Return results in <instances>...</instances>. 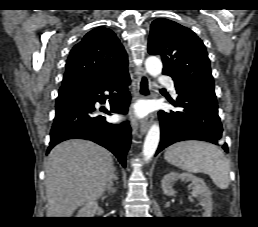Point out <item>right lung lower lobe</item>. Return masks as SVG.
Returning <instances> with one entry per match:
<instances>
[{
  "label": "right lung lower lobe",
  "instance_id": "1",
  "mask_svg": "<svg viewBox=\"0 0 258 227\" xmlns=\"http://www.w3.org/2000/svg\"><path fill=\"white\" fill-rule=\"evenodd\" d=\"M129 84L128 71L124 70L109 79H84L62 86L56 100V115L47 151L64 140L83 138L110 150L125 167L131 128L127 122L108 123L104 116L96 113L94 104L105 103L108 96L104 91H109L112 96L110 111H101L109 115L110 112L126 114L130 103Z\"/></svg>",
  "mask_w": 258,
  "mask_h": 227
}]
</instances>
